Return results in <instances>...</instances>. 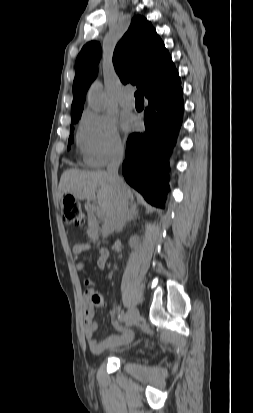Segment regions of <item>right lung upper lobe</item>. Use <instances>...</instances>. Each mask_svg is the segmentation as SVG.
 <instances>
[{
    "label": "right lung upper lobe",
    "instance_id": "obj_1",
    "mask_svg": "<svg viewBox=\"0 0 253 413\" xmlns=\"http://www.w3.org/2000/svg\"><path fill=\"white\" fill-rule=\"evenodd\" d=\"M100 57V44L92 41L83 46L76 59L72 120L81 117L87 90L97 76ZM113 64L120 80L143 89L145 97L155 88H171L181 82L164 43L143 16L132 19L115 47Z\"/></svg>",
    "mask_w": 253,
    "mask_h": 413
}]
</instances>
